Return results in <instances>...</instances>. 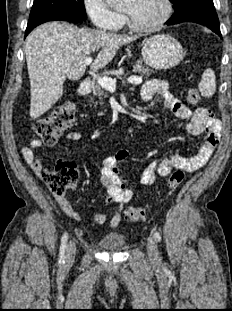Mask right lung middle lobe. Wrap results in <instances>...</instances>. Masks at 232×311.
I'll return each instance as SVG.
<instances>
[{
    "mask_svg": "<svg viewBox=\"0 0 232 311\" xmlns=\"http://www.w3.org/2000/svg\"><path fill=\"white\" fill-rule=\"evenodd\" d=\"M48 12H66L86 20L84 0H34L29 18Z\"/></svg>",
    "mask_w": 232,
    "mask_h": 311,
    "instance_id": "obj_1",
    "label": "right lung middle lobe"
}]
</instances>
